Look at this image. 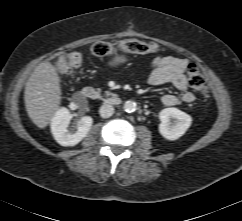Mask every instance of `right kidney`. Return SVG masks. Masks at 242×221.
Here are the masks:
<instances>
[{
  "label": "right kidney",
  "instance_id": "ca27d5eb",
  "mask_svg": "<svg viewBox=\"0 0 242 221\" xmlns=\"http://www.w3.org/2000/svg\"><path fill=\"white\" fill-rule=\"evenodd\" d=\"M92 123L93 119L90 116H84L78 121L76 131L68 130L70 112L67 108L62 107L55 112L51 119V132L61 146H75L86 137Z\"/></svg>",
  "mask_w": 242,
  "mask_h": 221
}]
</instances>
